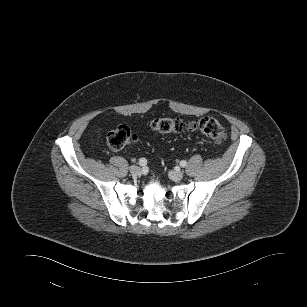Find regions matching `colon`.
Instances as JSON below:
<instances>
[{
    "mask_svg": "<svg viewBox=\"0 0 307 307\" xmlns=\"http://www.w3.org/2000/svg\"><path fill=\"white\" fill-rule=\"evenodd\" d=\"M151 127L156 132L163 134L180 133L184 128H187L192 132L201 133L216 143H222L226 139V132L223 126L212 117H204L187 125L181 119L163 117L153 120ZM136 139V134L126 125H118L107 135L108 145L115 150L130 146Z\"/></svg>",
    "mask_w": 307,
    "mask_h": 307,
    "instance_id": "obj_1",
    "label": "colon"
}]
</instances>
